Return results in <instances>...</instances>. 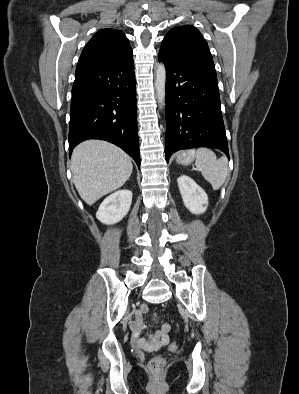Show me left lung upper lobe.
I'll list each match as a JSON object with an SVG mask.
<instances>
[{
    "label": "left lung upper lobe",
    "mask_w": 299,
    "mask_h": 394,
    "mask_svg": "<svg viewBox=\"0 0 299 394\" xmlns=\"http://www.w3.org/2000/svg\"><path fill=\"white\" fill-rule=\"evenodd\" d=\"M159 52L175 61L213 62L206 40L198 29L190 25L172 28L164 37Z\"/></svg>",
    "instance_id": "5c2ea615"
}]
</instances>
